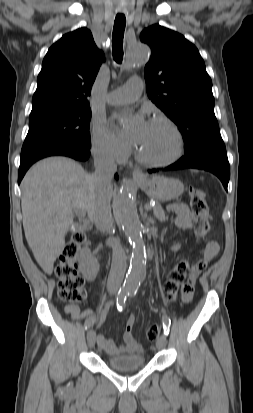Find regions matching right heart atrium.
Masks as SVG:
<instances>
[{"instance_id":"1","label":"right heart atrium","mask_w":253,"mask_h":413,"mask_svg":"<svg viewBox=\"0 0 253 413\" xmlns=\"http://www.w3.org/2000/svg\"><path fill=\"white\" fill-rule=\"evenodd\" d=\"M94 156L104 162H120L128 155V146L101 119H94L91 131Z\"/></svg>"}]
</instances>
